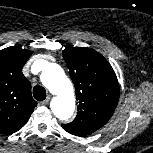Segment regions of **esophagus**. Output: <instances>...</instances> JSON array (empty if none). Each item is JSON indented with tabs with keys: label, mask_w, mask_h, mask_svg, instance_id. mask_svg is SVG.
Here are the masks:
<instances>
[{
	"label": "esophagus",
	"mask_w": 153,
	"mask_h": 153,
	"mask_svg": "<svg viewBox=\"0 0 153 153\" xmlns=\"http://www.w3.org/2000/svg\"><path fill=\"white\" fill-rule=\"evenodd\" d=\"M50 99H51V96L49 95L45 100H43L41 102V105H47L49 103Z\"/></svg>",
	"instance_id": "34e87169"
}]
</instances>
